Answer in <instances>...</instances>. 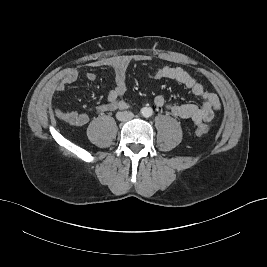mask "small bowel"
<instances>
[{"mask_svg":"<svg viewBox=\"0 0 267 267\" xmlns=\"http://www.w3.org/2000/svg\"><path fill=\"white\" fill-rule=\"evenodd\" d=\"M150 59V56L137 54L117 55L90 62L88 65L91 68L111 69L115 82V86L107 93V102L97 105L95 107V111L98 114H102L105 112L127 109L129 104L123 99V96L127 90V69L134 62H146ZM151 77L156 80H174L188 88L195 96L201 98V104L198 106L195 104L170 103L163 95L156 96L154 98V104L156 107L166 109L175 117L190 119L195 125H200L202 123L211 122L214 118L215 112L221 108L219 97L215 93L205 90L203 85L195 77L181 67L160 66L154 69ZM78 78L79 71L77 69H70L55 85V90L57 92H64L66 88L70 84L76 82ZM95 78L96 76L94 73L87 74V79L89 81H94ZM56 115L75 126H84L89 122V116L85 112H66L60 108H57Z\"/></svg>","mask_w":267,"mask_h":267,"instance_id":"c3829d8e","label":"small bowel"}]
</instances>
